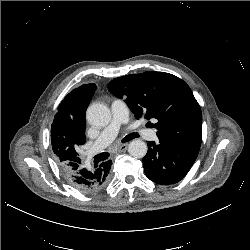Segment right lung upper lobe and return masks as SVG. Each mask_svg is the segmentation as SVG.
I'll return each instance as SVG.
<instances>
[{
	"label": "right lung upper lobe",
	"mask_w": 250,
	"mask_h": 250,
	"mask_svg": "<svg viewBox=\"0 0 250 250\" xmlns=\"http://www.w3.org/2000/svg\"><path fill=\"white\" fill-rule=\"evenodd\" d=\"M96 90L95 84H84L72 90L58 106L51 125V144L59 165L79 163L77 155L71 157V148L85 143V113Z\"/></svg>",
	"instance_id": "right-lung-upper-lobe-1"
}]
</instances>
